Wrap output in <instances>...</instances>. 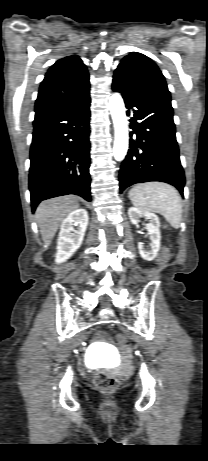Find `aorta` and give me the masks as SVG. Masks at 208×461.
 Segmentation results:
<instances>
[{
    "label": "aorta",
    "mask_w": 208,
    "mask_h": 461,
    "mask_svg": "<svg viewBox=\"0 0 208 461\" xmlns=\"http://www.w3.org/2000/svg\"><path fill=\"white\" fill-rule=\"evenodd\" d=\"M109 109L114 125L113 155L116 161H122L128 151L129 133L125 106L120 94L114 93L109 99Z\"/></svg>",
    "instance_id": "1"
}]
</instances>
